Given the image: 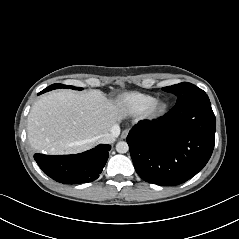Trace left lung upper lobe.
<instances>
[{
    "label": "left lung upper lobe",
    "mask_w": 239,
    "mask_h": 239,
    "mask_svg": "<svg viewBox=\"0 0 239 239\" xmlns=\"http://www.w3.org/2000/svg\"><path fill=\"white\" fill-rule=\"evenodd\" d=\"M162 90L175 94L177 96L176 104L187 101L198 95L205 94L203 90L188 82L164 87Z\"/></svg>",
    "instance_id": "5c2ea615"
}]
</instances>
